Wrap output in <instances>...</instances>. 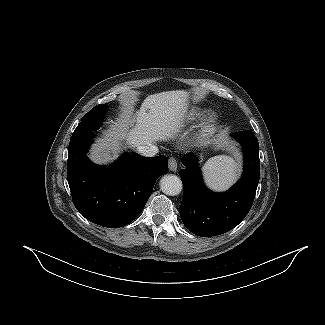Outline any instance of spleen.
<instances>
[{"mask_svg":"<svg viewBox=\"0 0 325 325\" xmlns=\"http://www.w3.org/2000/svg\"><path fill=\"white\" fill-rule=\"evenodd\" d=\"M206 185L214 191L228 189L237 179L238 164L228 155L210 158L203 166Z\"/></svg>","mask_w":325,"mask_h":325,"instance_id":"1","label":"spleen"}]
</instances>
